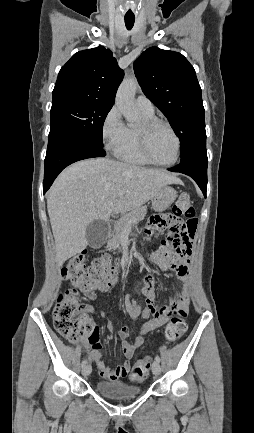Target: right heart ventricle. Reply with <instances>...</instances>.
Wrapping results in <instances>:
<instances>
[{
	"mask_svg": "<svg viewBox=\"0 0 254 433\" xmlns=\"http://www.w3.org/2000/svg\"><path fill=\"white\" fill-rule=\"evenodd\" d=\"M142 113V112H141ZM144 119H154V114L142 113ZM117 156L124 162L134 165L150 164L142 155L139 147L137 129L127 128L125 139L117 152Z\"/></svg>",
	"mask_w": 254,
	"mask_h": 433,
	"instance_id": "obj_1",
	"label": "right heart ventricle"
}]
</instances>
